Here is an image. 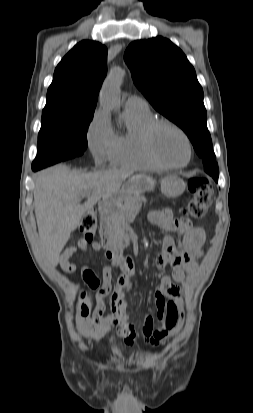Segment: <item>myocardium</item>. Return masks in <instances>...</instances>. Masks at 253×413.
<instances>
[{
	"label": "myocardium",
	"instance_id": "myocardium-1",
	"mask_svg": "<svg viewBox=\"0 0 253 413\" xmlns=\"http://www.w3.org/2000/svg\"><path fill=\"white\" fill-rule=\"evenodd\" d=\"M168 126L175 131H177L185 140L186 145H187V150H188V156L187 159L184 163L182 164H171L166 161H164L156 152L154 143H153V136L155 131L157 130L158 127L160 126ZM142 142H143V147L145 149L146 154L148 157L156 163L158 166L166 169H180L186 167L192 158L193 154V147L191 140L187 133L176 123L168 120V119H153L150 121L144 128L143 133H142Z\"/></svg>",
	"mask_w": 253,
	"mask_h": 413
}]
</instances>
